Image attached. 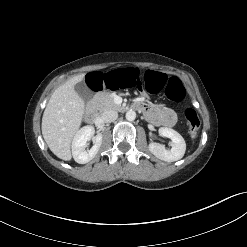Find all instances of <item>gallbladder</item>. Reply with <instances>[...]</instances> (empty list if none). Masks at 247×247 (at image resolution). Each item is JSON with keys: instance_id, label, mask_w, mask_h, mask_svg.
Returning <instances> with one entry per match:
<instances>
[{"instance_id": "1", "label": "gallbladder", "mask_w": 247, "mask_h": 247, "mask_svg": "<svg viewBox=\"0 0 247 247\" xmlns=\"http://www.w3.org/2000/svg\"><path fill=\"white\" fill-rule=\"evenodd\" d=\"M75 91L77 92L78 95H80L81 97L85 99H89L92 96V91L87 86L84 80H82L81 82L75 85Z\"/></svg>"}]
</instances>
